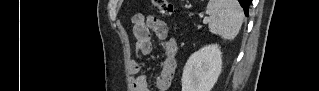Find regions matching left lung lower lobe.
I'll use <instances>...</instances> for the list:
<instances>
[{
	"instance_id": "left-lung-lower-lobe-1",
	"label": "left lung lower lobe",
	"mask_w": 319,
	"mask_h": 91,
	"mask_svg": "<svg viewBox=\"0 0 319 91\" xmlns=\"http://www.w3.org/2000/svg\"><path fill=\"white\" fill-rule=\"evenodd\" d=\"M238 1L244 9L245 15H248V8L251 3V0H238Z\"/></svg>"
}]
</instances>
